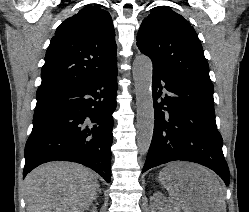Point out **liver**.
<instances>
[{"instance_id":"obj_1","label":"liver","mask_w":249,"mask_h":212,"mask_svg":"<svg viewBox=\"0 0 249 212\" xmlns=\"http://www.w3.org/2000/svg\"><path fill=\"white\" fill-rule=\"evenodd\" d=\"M172 210L183 212H226L218 176L189 162L167 166ZM164 176V174H162ZM27 212H85L97 196L99 184L88 168L71 162H49L27 174Z\"/></svg>"}]
</instances>
